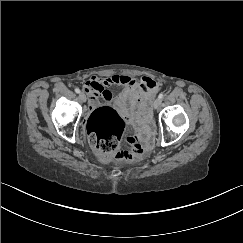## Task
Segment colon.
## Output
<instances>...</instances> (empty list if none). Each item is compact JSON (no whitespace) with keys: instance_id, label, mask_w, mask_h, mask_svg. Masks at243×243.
<instances>
[{"instance_id":"5ec220e1","label":"colon","mask_w":243,"mask_h":243,"mask_svg":"<svg viewBox=\"0 0 243 243\" xmlns=\"http://www.w3.org/2000/svg\"><path fill=\"white\" fill-rule=\"evenodd\" d=\"M141 116L147 117V104L140 109ZM90 140L103 158H115L121 161L140 159L149 146L147 137H127L128 147L121 148L125 138L126 123L112 107H100L92 111L87 121Z\"/></svg>"}]
</instances>
